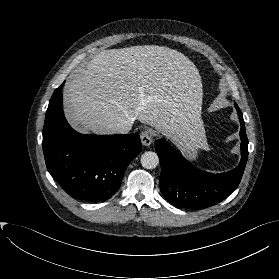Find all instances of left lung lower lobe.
<instances>
[{"label":"left lung lower lobe","mask_w":279,"mask_h":279,"mask_svg":"<svg viewBox=\"0 0 279 279\" xmlns=\"http://www.w3.org/2000/svg\"><path fill=\"white\" fill-rule=\"evenodd\" d=\"M241 123V152L239 165L228 172L212 174L201 171L190 164L165 140L159 139L155 149L161 163L160 189L172 205L187 209L211 207L238 187L248 158V139L242 113H238Z\"/></svg>","instance_id":"obj_1"}]
</instances>
